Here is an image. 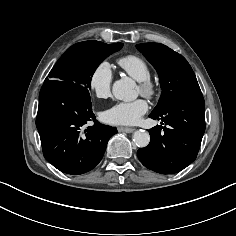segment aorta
Instances as JSON below:
<instances>
[{"label": "aorta", "mask_w": 236, "mask_h": 236, "mask_svg": "<svg viewBox=\"0 0 236 236\" xmlns=\"http://www.w3.org/2000/svg\"><path fill=\"white\" fill-rule=\"evenodd\" d=\"M112 93L118 100L125 102L133 101L137 98L135 82L129 77H123L114 82ZM133 140L138 147H146L150 142V135L144 130H137L133 134Z\"/></svg>", "instance_id": "1"}]
</instances>
